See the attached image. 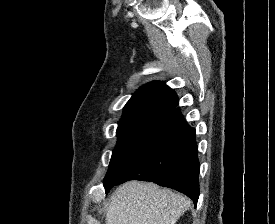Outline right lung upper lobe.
<instances>
[{
  "label": "right lung upper lobe",
  "mask_w": 275,
  "mask_h": 224,
  "mask_svg": "<svg viewBox=\"0 0 275 224\" xmlns=\"http://www.w3.org/2000/svg\"><path fill=\"white\" fill-rule=\"evenodd\" d=\"M178 96L167 85L153 81L139 88L124 107L123 116L146 111L168 112L178 106Z\"/></svg>",
  "instance_id": "1"
}]
</instances>
